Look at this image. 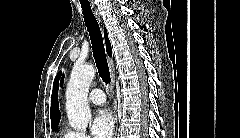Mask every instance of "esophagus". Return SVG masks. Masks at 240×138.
<instances>
[{"label": "esophagus", "mask_w": 240, "mask_h": 138, "mask_svg": "<svg viewBox=\"0 0 240 138\" xmlns=\"http://www.w3.org/2000/svg\"><path fill=\"white\" fill-rule=\"evenodd\" d=\"M94 12L97 16V19L99 21V23L101 22V18H100V13L98 12L97 9H94ZM108 64H109V68H110V74H111V91L114 90V85H115V69H114V63H113V59L112 58H108ZM113 105H114V128H113V134L112 137L115 138L117 135V129H118V118H117V103H116V99L115 97L113 98Z\"/></svg>", "instance_id": "34e87169"}]
</instances>
